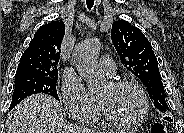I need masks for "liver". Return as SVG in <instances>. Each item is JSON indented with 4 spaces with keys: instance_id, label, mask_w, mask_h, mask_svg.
<instances>
[{
    "instance_id": "obj_1",
    "label": "liver",
    "mask_w": 184,
    "mask_h": 133,
    "mask_svg": "<svg viewBox=\"0 0 184 133\" xmlns=\"http://www.w3.org/2000/svg\"><path fill=\"white\" fill-rule=\"evenodd\" d=\"M7 133H96L67 125L59 102L46 94L24 99L8 114Z\"/></svg>"
}]
</instances>
